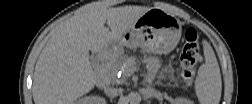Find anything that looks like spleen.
<instances>
[{
  "label": "spleen",
  "mask_w": 252,
  "mask_h": 104,
  "mask_svg": "<svg viewBox=\"0 0 252 104\" xmlns=\"http://www.w3.org/2000/svg\"><path fill=\"white\" fill-rule=\"evenodd\" d=\"M205 63L195 80V92L201 104H218L221 98L222 80L215 53L207 41H203Z\"/></svg>",
  "instance_id": "obj_1"
}]
</instances>
